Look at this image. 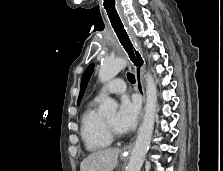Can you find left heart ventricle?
<instances>
[{
	"mask_svg": "<svg viewBox=\"0 0 223 171\" xmlns=\"http://www.w3.org/2000/svg\"><path fill=\"white\" fill-rule=\"evenodd\" d=\"M105 119L113 127L114 130H116L117 132H119L116 129V127H115V119H116V114L115 113L106 116Z\"/></svg>",
	"mask_w": 223,
	"mask_h": 171,
	"instance_id": "1",
	"label": "left heart ventricle"
}]
</instances>
